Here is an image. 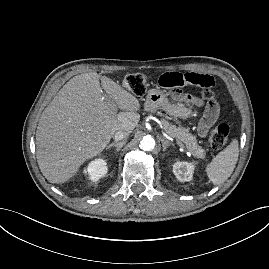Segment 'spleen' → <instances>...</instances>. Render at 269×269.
I'll use <instances>...</instances> for the list:
<instances>
[{"mask_svg": "<svg viewBox=\"0 0 269 269\" xmlns=\"http://www.w3.org/2000/svg\"><path fill=\"white\" fill-rule=\"evenodd\" d=\"M238 140L234 139L206 167L209 180L214 185L224 183L233 173L239 156Z\"/></svg>", "mask_w": 269, "mask_h": 269, "instance_id": "3e777b00", "label": "spleen"}]
</instances>
